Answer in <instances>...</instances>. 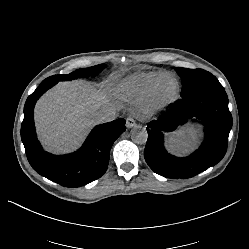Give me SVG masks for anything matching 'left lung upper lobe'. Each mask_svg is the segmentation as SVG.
I'll return each mask as SVG.
<instances>
[{
	"label": "left lung upper lobe",
	"mask_w": 249,
	"mask_h": 249,
	"mask_svg": "<svg viewBox=\"0 0 249 249\" xmlns=\"http://www.w3.org/2000/svg\"><path fill=\"white\" fill-rule=\"evenodd\" d=\"M175 70L182 78L181 97L209 88L223 87L214 75L203 69L176 67Z\"/></svg>",
	"instance_id": "left-lung-upper-lobe-1"
}]
</instances>
